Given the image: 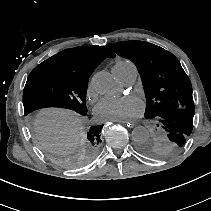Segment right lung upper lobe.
Segmentation results:
<instances>
[{
  "label": "right lung upper lobe",
  "mask_w": 211,
  "mask_h": 211,
  "mask_svg": "<svg viewBox=\"0 0 211 211\" xmlns=\"http://www.w3.org/2000/svg\"><path fill=\"white\" fill-rule=\"evenodd\" d=\"M107 57H115V54L107 47L81 46L63 50L38 66L90 76L94 69Z\"/></svg>",
  "instance_id": "obj_1"
}]
</instances>
